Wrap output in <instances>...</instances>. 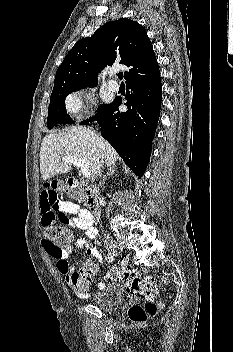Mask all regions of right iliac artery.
<instances>
[{"label":"right iliac artery","mask_w":233,"mask_h":352,"mask_svg":"<svg viewBox=\"0 0 233 352\" xmlns=\"http://www.w3.org/2000/svg\"><path fill=\"white\" fill-rule=\"evenodd\" d=\"M113 259H114V257L112 256V255H107L106 256V260H107V262H112L113 261Z\"/></svg>","instance_id":"right-iliac-artery-1"}]
</instances>
